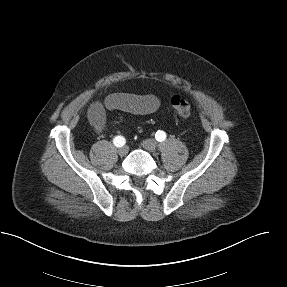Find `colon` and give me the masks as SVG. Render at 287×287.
I'll return each mask as SVG.
<instances>
[{"instance_id":"obj_1","label":"colon","mask_w":287,"mask_h":287,"mask_svg":"<svg viewBox=\"0 0 287 287\" xmlns=\"http://www.w3.org/2000/svg\"><path fill=\"white\" fill-rule=\"evenodd\" d=\"M170 104L174 112L180 117H188L192 112V104L179 95L172 96Z\"/></svg>"}]
</instances>
